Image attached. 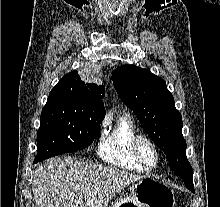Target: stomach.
I'll return each mask as SVG.
<instances>
[{
  "instance_id": "0dacf381",
  "label": "stomach",
  "mask_w": 220,
  "mask_h": 207,
  "mask_svg": "<svg viewBox=\"0 0 220 207\" xmlns=\"http://www.w3.org/2000/svg\"><path fill=\"white\" fill-rule=\"evenodd\" d=\"M130 190V195L117 199L111 207H174L173 190L157 178L144 176Z\"/></svg>"
}]
</instances>
